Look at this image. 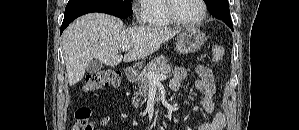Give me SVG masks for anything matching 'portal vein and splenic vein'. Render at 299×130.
Wrapping results in <instances>:
<instances>
[{"label":"portal vein and splenic vein","mask_w":299,"mask_h":130,"mask_svg":"<svg viewBox=\"0 0 299 130\" xmlns=\"http://www.w3.org/2000/svg\"><path fill=\"white\" fill-rule=\"evenodd\" d=\"M130 49V46H123V51H128ZM148 78L150 82H159L161 80H166L167 76L165 74H155L152 72H148Z\"/></svg>","instance_id":"obj_1"}]
</instances>
